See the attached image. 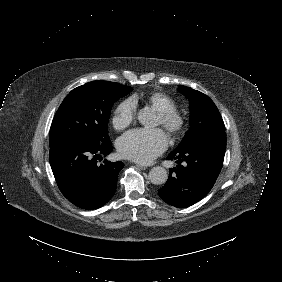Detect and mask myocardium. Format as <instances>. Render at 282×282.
Listing matches in <instances>:
<instances>
[{
	"label": "myocardium",
	"instance_id": "f54148a6",
	"mask_svg": "<svg viewBox=\"0 0 282 282\" xmlns=\"http://www.w3.org/2000/svg\"><path fill=\"white\" fill-rule=\"evenodd\" d=\"M160 124L170 133L175 134L183 126V118L176 111H159Z\"/></svg>",
	"mask_w": 282,
	"mask_h": 282
}]
</instances>
